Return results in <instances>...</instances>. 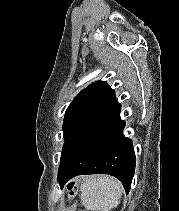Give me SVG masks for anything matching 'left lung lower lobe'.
I'll return each instance as SVG.
<instances>
[{"mask_svg":"<svg viewBox=\"0 0 179 211\" xmlns=\"http://www.w3.org/2000/svg\"><path fill=\"white\" fill-rule=\"evenodd\" d=\"M115 99L97 118L81 146L63 171L58 173L60 187L82 174H109L118 178L128 194L135 171L131 140L123 135L125 122Z\"/></svg>","mask_w":179,"mask_h":211,"instance_id":"obj_1","label":"left lung lower lobe"}]
</instances>
